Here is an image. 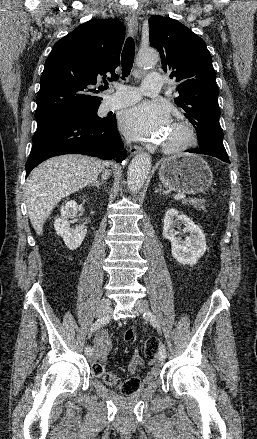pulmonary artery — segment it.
I'll return each mask as SVG.
<instances>
[{
  "label": "pulmonary artery",
  "mask_w": 257,
  "mask_h": 439,
  "mask_svg": "<svg viewBox=\"0 0 257 439\" xmlns=\"http://www.w3.org/2000/svg\"><path fill=\"white\" fill-rule=\"evenodd\" d=\"M163 85V76L159 73H149L144 78L141 88L121 85L118 91L105 101L107 109H118L130 105L140 99L142 94L155 95Z\"/></svg>",
  "instance_id": "pulmonary-artery-1"
}]
</instances>
